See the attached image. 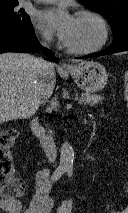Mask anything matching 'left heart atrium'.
Returning a JSON list of instances; mask_svg holds the SVG:
<instances>
[{
	"label": "left heart atrium",
	"mask_w": 128,
	"mask_h": 213,
	"mask_svg": "<svg viewBox=\"0 0 128 213\" xmlns=\"http://www.w3.org/2000/svg\"><path fill=\"white\" fill-rule=\"evenodd\" d=\"M36 25L47 33L57 35L67 45L72 37L76 18L65 6L52 7L37 15Z\"/></svg>",
	"instance_id": "39dd6f15"
}]
</instances>
